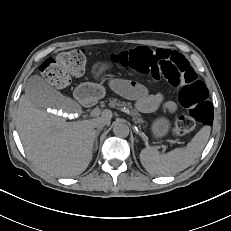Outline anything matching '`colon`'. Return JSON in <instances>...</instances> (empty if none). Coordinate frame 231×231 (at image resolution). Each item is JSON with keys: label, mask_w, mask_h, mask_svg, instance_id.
Returning a JSON list of instances; mask_svg holds the SVG:
<instances>
[{"label": "colon", "mask_w": 231, "mask_h": 231, "mask_svg": "<svg viewBox=\"0 0 231 231\" xmlns=\"http://www.w3.org/2000/svg\"><path fill=\"white\" fill-rule=\"evenodd\" d=\"M110 58L114 63L150 74L155 79H164L179 90V102L187 112L172 127L174 137L193 131L198 124L212 123L213 107L208 90L183 55L171 50L138 47L113 54ZM86 66V53L74 49L56 58L46 59L40 66V72L50 84L64 87L73 76L80 75Z\"/></svg>", "instance_id": "colon-1"}]
</instances>
